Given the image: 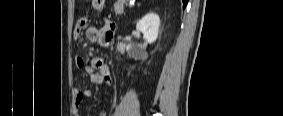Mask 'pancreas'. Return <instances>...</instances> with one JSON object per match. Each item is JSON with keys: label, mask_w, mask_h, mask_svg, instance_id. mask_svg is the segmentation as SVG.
<instances>
[{"label": "pancreas", "mask_w": 283, "mask_h": 116, "mask_svg": "<svg viewBox=\"0 0 283 116\" xmlns=\"http://www.w3.org/2000/svg\"><path fill=\"white\" fill-rule=\"evenodd\" d=\"M123 10H124L123 1H117V2L114 4V11H115L117 14H122V13H123Z\"/></svg>", "instance_id": "obj_1"}]
</instances>
